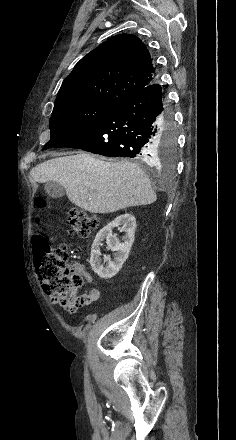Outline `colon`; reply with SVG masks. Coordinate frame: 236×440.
<instances>
[{
    "label": "colon",
    "instance_id": "obj_1",
    "mask_svg": "<svg viewBox=\"0 0 236 440\" xmlns=\"http://www.w3.org/2000/svg\"><path fill=\"white\" fill-rule=\"evenodd\" d=\"M36 205L44 207V199L38 197ZM67 218L70 233L78 236L89 235L99 224L94 214L79 208H71ZM33 245L38 249L35 263L44 291L65 310L70 312L77 310L85 301V298L78 293L84 279L82 273L68 262V246L60 244L51 248L46 238L39 234L34 236Z\"/></svg>",
    "mask_w": 236,
    "mask_h": 440
}]
</instances>
